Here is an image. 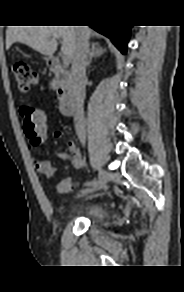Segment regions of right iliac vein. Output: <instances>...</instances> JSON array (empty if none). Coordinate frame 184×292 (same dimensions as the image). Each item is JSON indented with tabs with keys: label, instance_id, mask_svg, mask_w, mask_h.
<instances>
[{
	"label": "right iliac vein",
	"instance_id": "1",
	"mask_svg": "<svg viewBox=\"0 0 184 292\" xmlns=\"http://www.w3.org/2000/svg\"><path fill=\"white\" fill-rule=\"evenodd\" d=\"M98 179H99V182H97L95 187H90V188L86 189L85 191H83V193H91V192H94V191L101 189L108 181L109 174L105 170L100 169Z\"/></svg>",
	"mask_w": 184,
	"mask_h": 292
}]
</instances>
